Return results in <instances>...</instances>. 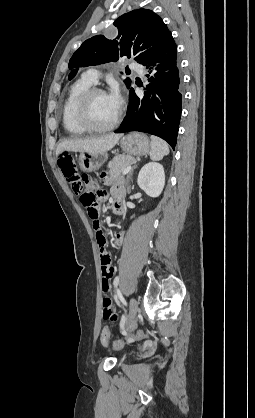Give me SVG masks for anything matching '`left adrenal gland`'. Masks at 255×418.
<instances>
[{
	"mask_svg": "<svg viewBox=\"0 0 255 418\" xmlns=\"http://www.w3.org/2000/svg\"><path fill=\"white\" fill-rule=\"evenodd\" d=\"M136 168V165L134 166V168L131 170V172L129 173V176L128 177H130V175L132 174V172H133V170Z\"/></svg>",
	"mask_w": 255,
	"mask_h": 418,
	"instance_id": "1",
	"label": "left adrenal gland"
}]
</instances>
